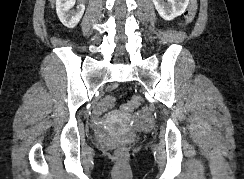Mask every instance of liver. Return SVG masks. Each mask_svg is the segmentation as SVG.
Returning a JSON list of instances; mask_svg holds the SVG:
<instances>
[{
  "instance_id": "6515ba94",
  "label": "liver",
  "mask_w": 244,
  "mask_h": 179,
  "mask_svg": "<svg viewBox=\"0 0 244 179\" xmlns=\"http://www.w3.org/2000/svg\"><path fill=\"white\" fill-rule=\"evenodd\" d=\"M49 2H51V6L53 8V6H54V0H49Z\"/></svg>"
}]
</instances>
